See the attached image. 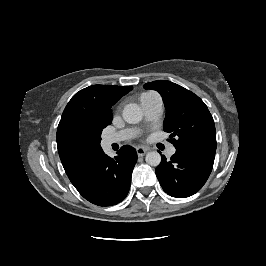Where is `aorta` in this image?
I'll return each mask as SVG.
<instances>
[{
    "label": "aorta",
    "mask_w": 266,
    "mask_h": 266,
    "mask_svg": "<svg viewBox=\"0 0 266 266\" xmlns=\"http://www.w3.org/2000/svg\"><path fill=\"white\" fill-rule=\"evenodd\" d=\"M122 115L127 123L135 124L142 120L143 112L139 105L131 103L124 107ZM145 161L150 166L156 167L161 162V155L157 151L148 152Z\"/></svg>",
    "instance_id": "obj_1"
}]
</instances>
